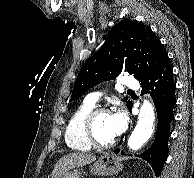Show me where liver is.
<instances>
[{"instance_id":"liver-1","label":"liver","mask_w":194,"mask_h":178,"mask_svg":"<svg viewBox=\"0 0 194 178\" xmlns=\"http://www.w3.org/2000/svg\"><path fill=\"white\" fill-rule=\"evenodd\" d=\"M96 160L95 155L91 153L74 152L64 155L56 163L52 172V178H58L64 172L73 168L84 166Z\"/></svg>"}]
</instances>
